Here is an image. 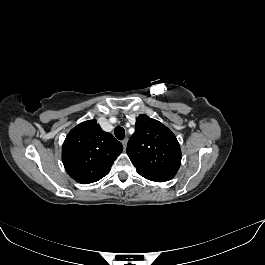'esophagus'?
I'll list each match as a JSON object with an SVG mask.
<instances>
[{
  "mask_svg": "<svg viewBox=\"0 0 265 265\" xmlns=\"http://www.w3.org/2000/svg\"><path fill=\"white\" fill-rule=\"evenodd\" d=\"M127 142H128V138L125 137V138L122 140V144H123L124 149H126Z\"/></svg>",
  "mask_w": 265,
  "mask_h": 265,
  "instance_id": "1",
  "label": "esophagus"
}]
</instances>
